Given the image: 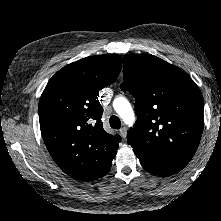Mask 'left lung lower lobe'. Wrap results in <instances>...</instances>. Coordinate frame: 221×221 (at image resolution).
<instances>
[{
  "instance_id": "0a47b994",
  "label": "left lung lower lobe",
  "mask_w": 221,
  "mask_h": 221,
  "mask_svg": "<svg viewBox=\"0 0 221 221\" xmlns=\"http://www.w3.org/2000/svg\"><path fill=\"white\" fill-rule=\"evenodd\" d=\"M135 154L139 158L143 168L153 175L170 176L185 167V165L151 154L141 152H135Z\"/></svg>"
}]
</instances>
